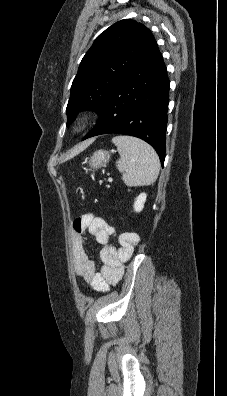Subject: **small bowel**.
Instances as JSON below:
<instances>
[{"instance_id": "1", "label": "small bowel", "mask_w": 227, "mask_h": 396, "mask_svg": "<svg viewBox=\"0 0 227 396\" xmlns=\"http://www.w3.org/2000/svg\"><path fill=\"white\" fill-rule=\"evenodd\" d=\"M72 256L76 272L88 281L95 290L106 292L123 276L124 265L131 258L140 242L137 233L123 232L109 225L102 217L87 213L73 222ZM85 232L92 234L103 247L99 252L101 267L98 269L86 250ZM118 238L119 246L110 243V238Z\"/></svg>"}]
</instances>
